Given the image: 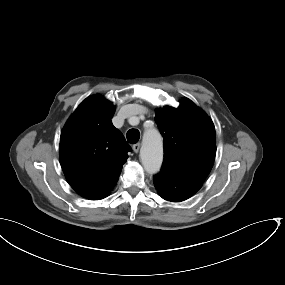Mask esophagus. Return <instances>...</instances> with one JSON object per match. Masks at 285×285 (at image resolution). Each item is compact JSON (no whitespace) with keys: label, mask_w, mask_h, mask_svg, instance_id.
Segmentation results:
<instances>
[{"label":"esophagus","mask_w":285,"mask_h":285,"mask_svg":"<svg viewBox=\"0 0 285 285\" xmlns=\"http://www.w3.org/2000/svg\"><path fill=\"white\" fill-rule=\"evenodd\" d=\"M141 144L140 143H136L133 145L132 149L135 153H138L140 150Z\"/></svg>","instance_id":"esophagus-1"}]
</instances>
